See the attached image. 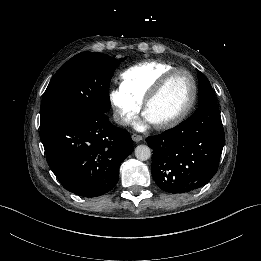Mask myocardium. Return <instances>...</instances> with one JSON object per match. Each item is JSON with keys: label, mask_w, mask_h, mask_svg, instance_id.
Segmentation results:
<instances>
[{"label": "myocardium", "mask_w": 261, "mask_h": 261, "mask_svg": "<svg viewBox=\"0 0 261 261\" xmlns=\"http://www.w3.org/2000/svg\"><path fill=\"white\" fill-rule=\"evenodd\" d=\"M177 73H184L185 75H187L192 85V95L188 104L177 116L160 123H152L153 126L158 130L170 129L180 124L189 115L196 102L198 88L193 75L185 69L175 68L166 72L151 88L150 92L147 94L143 101V114L146 116V111L150 104L157 99V97L165 89L172 77Z\"/></svg>", "instance_id": "myocardium-1"}]
</instances>
